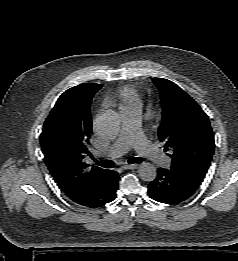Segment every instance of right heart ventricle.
Wrapping results in <instances>:
<instances>
[{
  "instance_id": "obj_1",
  "label": "right heart ventricle",
  "mask_w": 238,
  "mask_h": 261,
  "mask_svg": "<svg viewBox=\"0 0 238 261\" xmlns=\"http://www.w3.org/2000/svg\"><path fill=\"white\" fill-rule=\"evenodd\" d=\"M109 102L116 105L121 114L129 111L141 112L142 109L141 94L136 88L129 85L118 87L109 98Z\"/></svg>"
}]
</instances>
